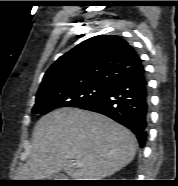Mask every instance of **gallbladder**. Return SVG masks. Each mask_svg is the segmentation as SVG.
<instances>
[{"mask_svg":"<svg viewBox=\"0 0 178 186\" xmlns=\"http://www.w3.org/2000/svg\"><path fill=\"white\" fill-rule=\"evenodd\" d=\"M64 177H65L64 174H62V173H56V174L52 175L50 179H52V180H60V179H62Z\"/></svg>","mask_w":178,"mask_h":186,"instance_id":"gallbladder-1","label":"gallbladder"}]
</instances>
